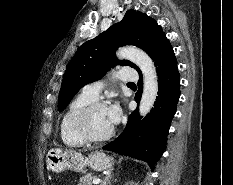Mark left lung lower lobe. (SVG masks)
Returning <instances> with one entry per match:
<instances>
[{"label": "left lung lower lobe", "instance_id": "left-lung-lower-lobe-1", "mask_svg": "<svg viewBox=\"0 0 233 185\" xmlns=\"http://www.w3.org/2000/svg\"><path fill=\"white\" fill-rule=\"evenodd\" d=\"M152 59L157 67L159 79V91L154 108L142 120L138 110L132 112L120 136L103 149L143 160L153 169L163 153L170 123L176 113L180 96V74L173 48L166 37L158 45ZM138 72L140 80L135 97L137 102L140 100L143 86L141 71Z\"/></svg>", "mask_w": 233, "mask_h": 185}]
</instances>
